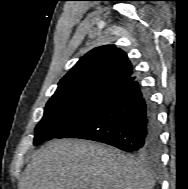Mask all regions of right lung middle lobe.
I'll list each match as a JSON object with an SVG mask.
<instances>
[{
	"label": "right lung middle lobe",
	"mask_w": 188,
	"mask_h": 189,
	"mask_svg": "<svg viewBox=\"0 0 188 189\" xmlns=\"http://www.w3.org/2000/svg\"><path fill=\"white\" fill-rule=\"evenodd\" d=\"M107 94L109 92L103 90H86L53 95L35 128L34 145L48 141L74 125Z\"/></svg>",
	"instance_id": "obj_1"
}]
</instances>
